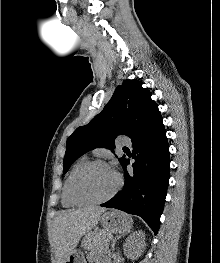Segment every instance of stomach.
I'll use <instances>...</instances> for the list:
<instances>
[{"mask_svg": "<svg viewBox=\"0 0 220 263\" xmlns=\"http://www.w3.org/2000/svg\"><path fill=\"white\" fill-rule=\"evenodd\" d=\"M100 223L109 234H124L131 230L133 220L121 211L111 210L100 217ZM64 263H86V260L80 250L74 249Z\"/></svg>", "mask_w": 220, "mask_h": 263, "instance_id": "0dacf381", "label": "stomach"}]
</instances>
